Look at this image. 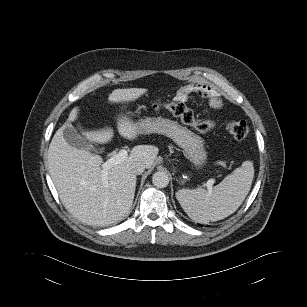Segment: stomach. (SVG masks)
Instances as JSON below:
<instances>
[{
  "label": "stomach",
  "instance_id": "0dacf381",
  "mask_svg": "<svg viewBox=\"0 0 307 307\" xmlns=\"http://www.w3.org/2000/svg\"><path fill=\"white\" fill-rule=\"evenodd\" d=\"M136 125L139 134L159 133L173 139L184 150L196 170H201L206 165L208 155L203 139L177 122L160 116L139 120Z\"/></svg>",
  "mask_w": 307,
  "mask_h": 307
}]
</instances>
